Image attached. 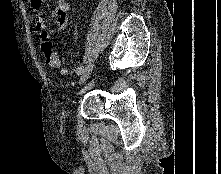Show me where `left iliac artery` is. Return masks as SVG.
I'll use <instances>...</instances> for the list:
<instances>
[{
    "label": "left iliac artery",
    "instance_id": "obj_1",
    "mask_svg": "<svg viewBox=\"0 0 221 174\" xmlns=\"http://www.w3.org/2000/svg\"><path fill=\"white\" fill-rule=\"evenodd\" d=\"M84 70V67L83 66H79L77 69H76V74L77 75H80Z\"/></svg>",
    "mask_w": 221,
    "mask_h": 174
}]
</instances>
